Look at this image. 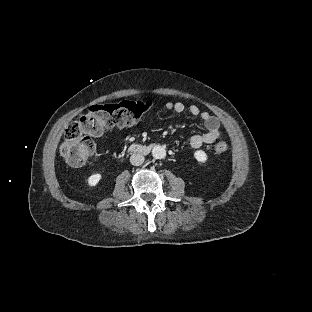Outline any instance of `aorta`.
Listing matches in <instances>:
<instances>
[{"label":"aorta","mask_w":312,"mask_h":312,"mask_svg":"<svg viewBox=\"0 0 312 312\" xmlns=\"http://www.w3.org/2000/svg\"><path fill=\"white\" fill-rule=\"evenodd\" d=\"M152 156L155 159H164L166 157V150L161 145H155L152 149Z\"/></svg>","instance_id":"762f6f07"}]
</instances>
